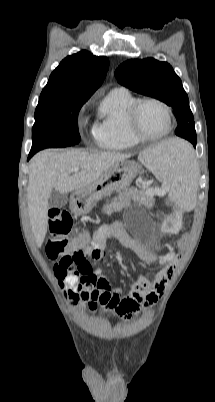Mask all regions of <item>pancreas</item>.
I'll return each instance as SVG.
<instances>
[{
  "mask_svg": "<svg viewBox=\"0 0 215 402\" xmlns=\"http://www.w3.org/2000/svg\"><path fill=\"white\" fill-rule=\"evenodd\" d=\"M148 189V187L142 188L139 193L144 194L145 190ZM135 189L133 188H125L122 190H119L118 197L115 198L111 203H107L106 205L103 206V213L110 215L114 212H119L121 211L124 207L129 206L131 203V198L132 194Z\"/></svg>",
  "mask_w": 215,
  "mask_h": 402,
  "instance_id": "obj_1",
  "label": "pancreas"
}]
</instances>
